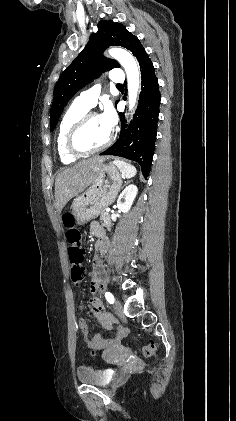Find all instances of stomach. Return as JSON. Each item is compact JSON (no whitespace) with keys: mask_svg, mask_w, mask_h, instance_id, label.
I'll return each instance as SVG.
<instances>
[{"mask_svg":"<svg viewBox=\"0 0 236 421\" xmlns=\"http://www.w3.org/2000/svg\"><path fill=\"white\" fill-rule=\"evenodd\" d=\"M84 188L87 190L75 196L72 202V215L77 225H85L96 219L106 206L114 202L122 184V174L115 162H102L96 170H91Z\"/></svg>","mask_w":236,"mask_h":421,"instance_id":"stomach-1","label":"stomach"}]
</instances>
